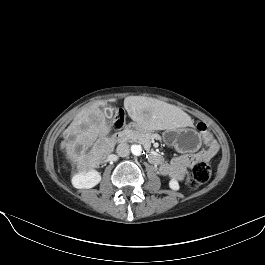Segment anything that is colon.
<instances>
[{"mask_svg": "<svg viewBox=\"0 0 265 265\" xmlns=\"http://www.w3.org/2000/svg\"><path fill=\"white\" fill-rule=\"evenodd\" d=\"M126 123V114L122 109H116L113 113L112 126L115 129H122ZM198 130L203 134L205 142H211L212 137L208 131V127L205 123L200 122L197 124ZM212 167L209 163L198 162L196 163L189 175V183L192 187H198L201 184L206 183L211 176Z\"/></svg>", "mask_w": 265, "mask_h": 265, "instance_id": "1", "label": "colon"}]
</instances>
